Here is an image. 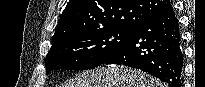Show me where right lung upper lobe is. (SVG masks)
I'll return each instance as SVG.
<instances>
[{
    "label": "right lung upper lobe",
    "mask_w": 205,
    "mask_h": 87,
    "mask_svg": "<svg viewBox=\"0 0 205 87\" xmlns=\"http://www.w3.org/2000/svg\"><path fill=\"white\" fill-rule=\"evenodd\" d=\"M170 7L169 0H69L52 43L106 28L134 30L145 20Z\"/></svg>",
    "instance_id": "right-lung-upper-lobe-1"
}]
</instances>
